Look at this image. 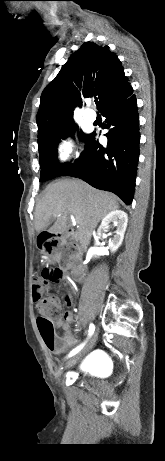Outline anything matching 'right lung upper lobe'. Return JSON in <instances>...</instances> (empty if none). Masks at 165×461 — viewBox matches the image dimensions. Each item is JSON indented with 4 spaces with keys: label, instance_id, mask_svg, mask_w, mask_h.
<instances>
[{
    "label": "right lung upper lobe",
    "instance_id": "right-lung-upper-lobe-1",
    "mask_svg": "<svg viewBox=\"0 0 165 461\" xmlns=\"http://www.w3.org/2000/svg\"><path fill=\"white\" fill-rule=\"evenodd\" d=\"M133 93L122 63L108 46L84 43L43 90L37 114L38 139L73 121L84 98L98 96L100 112Z\"/></svg>",
    "mask_w": 165,
    "mask_h": 461
}]
</instances>
